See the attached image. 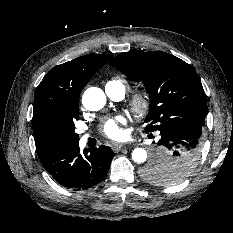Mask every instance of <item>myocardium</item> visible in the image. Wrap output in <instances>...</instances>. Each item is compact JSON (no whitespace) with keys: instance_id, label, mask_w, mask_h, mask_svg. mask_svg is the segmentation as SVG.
Wrapping results in <instances>:
<instances>
[{"instance_id":"f54148a6","label":"myocardium","mask_w":233,"mask_h":233,"mask_svg":"<svg viewBox=\"0 0 233 233\" xmlns=\"http://www.w3.org/2000/svg\"><path fill=\"white\" fill-rule=\"evenodd\" d=\"M128 105L136 118H145L152 109V96L147 90L135 91L130 95Z\"/></svg>"}]
</instances>
